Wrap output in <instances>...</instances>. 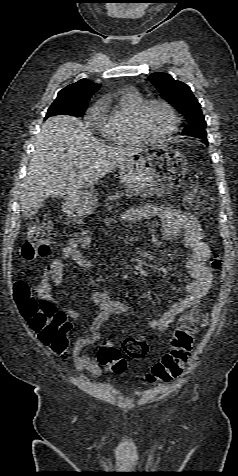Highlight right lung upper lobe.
Wrapping results in <instances>:
<instances>
[{"label": "right lung upper lobe", "mask_w": 238, "mask_h": 476, "mask_svg": "<svg viewBox=\"0 0 238 476\" xmlns=\"http://www.w3.org/2000/svg\"><path fill=\"white\" fill-rule=\"evenodd\" d=\"M99 87L100 84L88 79H81L59 91L56 99L67 98L75 103L88 105V101Z\"/></svg>", "instance_id": "obj_1"}]
</instances>
